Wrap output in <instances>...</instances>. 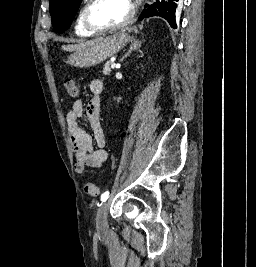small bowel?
Wrapping results in <instances>:
<instances>
[{
  "instance_id": "obj_1",
  "label": "small bowel",
  "mask_w": 256,
  "mask_h": 267,
  "mask_svg": "<svg viewBox=\"0 0 256 267\" xmlns=\"http://www.w3.org/2000/svg\"><path fill=\"white\" fill-rule=\"evenodd\" d=\"M91 97L86 106L87 119L92 135L79 125V120L84 115V104L76 100L66 116L67 129L71 137L73 154L76 161V170L83 172L85 167L97 168L108 160L105 150V135L100 122V103L103 91V82L92 79L89 82ZM95 142V146L93 144Z\"/></svg>"
}]
</instances>
